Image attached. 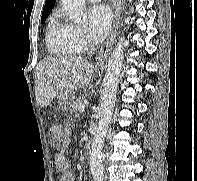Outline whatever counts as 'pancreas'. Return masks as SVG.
<instances>
[{
  "instance_id": "obj_1",
  "label": "pancreas",
  "mask_w": 197,
  "mask_h": 181,
  "mask_svg": "<svg viewBox=\"0 0 197 181\" xmlns=\"http://www.w3.org/2000/svg\"><path fill=\"white\" fill-rule=\"evenodd\" d=\"M81 106H83V98L79 97L77 99H74L70 105V111L76 113Z\"/></svg>"
}]
</instances>
